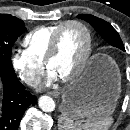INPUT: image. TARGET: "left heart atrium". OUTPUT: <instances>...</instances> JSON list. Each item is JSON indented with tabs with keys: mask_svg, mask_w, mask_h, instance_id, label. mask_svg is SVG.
Instances as JSON below:
<instances>
[{
	"mask_svg": "<svg viewBox=\"0 0 130 130\" xmlns=\"http://www.w3.org/2000/svg\"><path fill=\"white\" fill-rule=\"evenodd\" d=\"M57 79H58V76L54 72L49 70L48 71V79H47V83L46 84L50 85L52 82L56 81Z\"/></svg>",
	"mask_w": 130,
	"mask_h": 130,
	"instance_id": "left-heart-atrium-1",
	"label": "left heart atrium"
}]
</instances>
